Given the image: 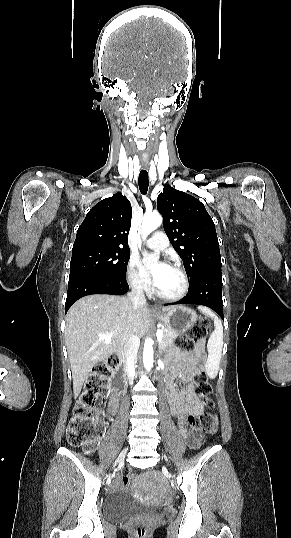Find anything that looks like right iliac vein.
<instances>
[{
	"instance_id": "obj_1",
	"label": "right iliac vein",
	"mask_w": 291,
	"mask_h": 538,
	"mask_svg": "<svg viewBox=\"0 0 291 538\" xmlns=\"http://www.w3.org/2000/svg\"><path fill=\"white\" fill-rule=\"evenodd\" d=\"M126 453H127V450L124 449V450L119 454L118 458H117L116 461H115V465H116L117 463L121 462V461L125 458Z\"/></svg>"
}]
</instances>
